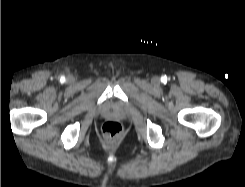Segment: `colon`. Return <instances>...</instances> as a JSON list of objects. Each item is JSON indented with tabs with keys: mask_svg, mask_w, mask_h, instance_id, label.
Listing matches in <instances>:
<instances>
[{
	"mask_svg": "<svg viewBox=\"0 0 245 187\" xmlns=\"http://www.w3.org/2000/svg\"><path fill=\"white\" fill-rule=\"evenodd\" d=\"M121 131V125L116 121H107L102 127V133L108 140L116 139L121 134Z\"/></svg>",
	"mask_w": 245,
	"mask_h": 187,
	"instance_id": "5ec220e1",
	"label": "colon"
}]
</instances>
